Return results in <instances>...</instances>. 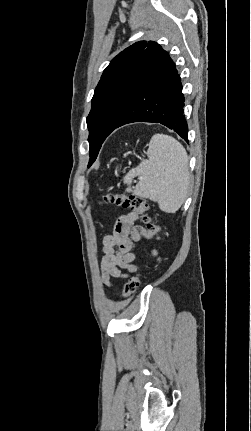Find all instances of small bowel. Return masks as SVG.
<instances>
[{
    "instance_id": "1",
    "label": "small bowel",
    "mask_w": 251,
    "mask_h": 431,
    "mask_svg": "<svg viewBox=\"0 0 251 431\" xmlns=\"http://www.w3.org/2000/svg\"><path fill=\"white\" fill-rule=\"evenodd\" d=\"M137 220L138 214L135 212L121 215L116 221L113 233L102 239L101 278L108 286L111 285L112 277L126 278L128 273L136 270L133 244L142 238L152 237L143 226L136 224ZM154 255L157 256V253L154 252Z\"/></svg>"
}]
</instances>
